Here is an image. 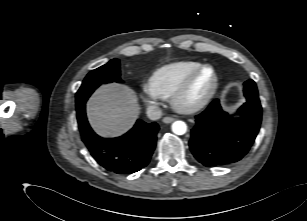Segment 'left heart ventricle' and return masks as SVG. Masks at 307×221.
Segmentation results:
<instances>
[{"mask_svg": "<svg viewBox=\"0 0 307 221\" xmlns=\"http://www.w3.org/2000/svg\"><path fill=\"white\" fill-rule=\"evenodd\" d=\"M213 73L210 69L204 70L191 88L187 101L194 102L202 98L211 88Z\"/></svg>", "mask_w": 307, "mask_h": 221, "instance_id": "obj_1", "label": "left heart ventricle"}]
</instances>
